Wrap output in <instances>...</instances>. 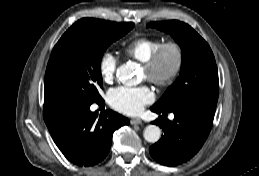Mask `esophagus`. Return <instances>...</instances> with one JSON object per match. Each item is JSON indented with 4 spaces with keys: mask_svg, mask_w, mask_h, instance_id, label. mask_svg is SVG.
Returning a JSON list of instances; mask_svg holds the SVG:
<instances>
[{
    "mask_svg": "<svg viewBox=\"0 0 259 176\" xmlns=\"http://www.w3.org/2000/svg\"><path fill=\"white\" fill-rule=\"evenodd\" d=\"M130 122H131L132 125H140V124H142V120L139 119V118L131 119Z\"/></svg>",
    "mask_w": 259,
    "mask_h": 176,
    "instance_id": "34e87169",
    "label": "esophagus"
}]
</instances>
